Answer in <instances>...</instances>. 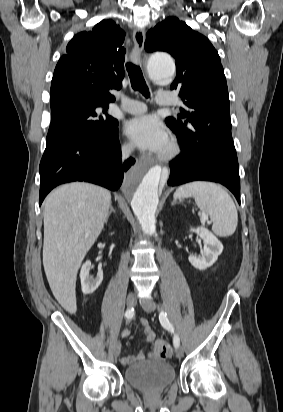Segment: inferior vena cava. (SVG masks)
Here are the masks:
<instances>
[{"mask_svg": "<svg viewBox=\"0 0 283 412\" xmlns=\"http://www.w3.org/2000/svg\"><path fill=\"white\" fill-rule=\"evenodd\" d=\"M133 148L130 146H126L122 149V158L126 159L130 156L131 152H132Z\"/></svg>", "mask_w": 283, "mask_h": 412, "instance_id": "obj_1", "label": "inferior vena cava"}]
</instances>
